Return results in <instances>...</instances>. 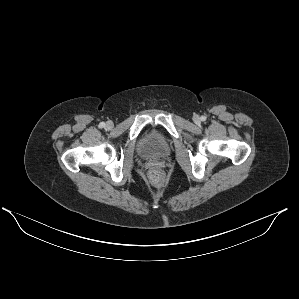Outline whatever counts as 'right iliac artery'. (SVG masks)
<instances>
[{"instance_id": "1", "label": "right iliac artery", "mask_w": 299, "mask_h": 299, "mask_svg": "<svg viewBox=\"0 0 299 299\" xmlns=\"http://www.w3.org/2000/svg\"><path fill=\"white\" fill-rule=\"evenodd\" d=\"M105 126V123L104 122H101L100 124H99V127L100 128H103Z\"/></svg>"}]
</instances>
